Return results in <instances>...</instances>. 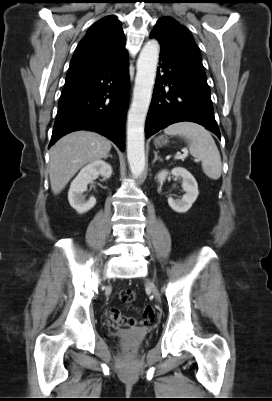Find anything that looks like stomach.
I'll use <instances>...</instances> for the list:
<instances>
[{"mask_svg": "<svg viewBox=\"0 0 272 401\" xmlns=\"http://www.w3.org/2000/svg\"><path fill=\"white\" fill-rule=\"evenodd\" d=\"M155 145L161 146L167 143V139L164 136H159L155 139Z\"/></svg>", "mask_w": 272, "mask_h": 401, "instance_id": "stomach-1", "label": "stomach"}]
</instances>
